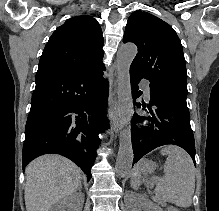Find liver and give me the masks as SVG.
I'll return each instance as SVG.
<instances>
[{
    "instance_id": "obj_1",
    "label": "liver",
    "mask_w": 219,
    "mask_h": 211,
    "mask_svg": "<svg viewBox=\"0 0 219 211\" xmlns=\"http://www.w3.org/2000/svg\"><path fill=\"white\" fill-rule=\"evenodd\" d=\"M27 211H50L61 197L81 187L82 169L63 155H40L25 169Z\"/></svg>"
}]
</instances>
